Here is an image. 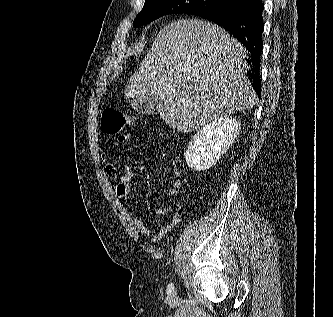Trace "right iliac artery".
<instances>
[{"mask_svg": "<svg viewBox=\"0 0 333 317\" xmlns=\"http://www.w3.org/2000/svg\"><path fill=\"white\" fill-rule=\"evenodd\" d=\"M175 292V288H174V284L173 283H169L167 286V293L171 294Z\"/></svg>", "mask_w": 333, "mask_h": 317, "instance_id": "obj_1", "label": "right iliac artery"}]
</instances>
